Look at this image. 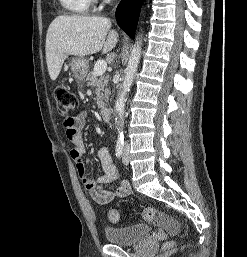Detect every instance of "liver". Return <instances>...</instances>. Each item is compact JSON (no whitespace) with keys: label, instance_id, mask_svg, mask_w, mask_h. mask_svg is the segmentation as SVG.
Returning a JSON list of instances; mask_svg holds the SVG:
<instances>
[{"label":"liver","instance_id":"obj_1","mask_svg":"<svg viewBox=\"0 0 247 257\" xmlns=\"http://www.w3.org/2000/svg\"><path fill=\"white\" fill-rule=\"evenodd\" d=\"M118 42V33L111 30L105 17L60 15L50 24L46 35V62L49 76L55 81L69 55L83 57L102 50L111 51Z\"/></svg>","mask_w":247,"mask_h":257}]
</instances>
